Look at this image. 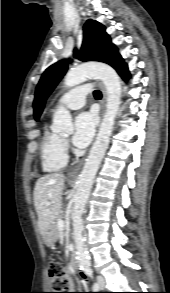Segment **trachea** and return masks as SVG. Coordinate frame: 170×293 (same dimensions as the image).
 <instances>
[{
  "label": "trachea",
  "mask_w": 170,
  "mask_h": 293,
  "mask_svg": "<svg viewBox=\"0 0 170 293\" xmlns=\"http://www.w3.org/2000/svg\"><path fill=\"white\" fill-rule=\"evenodd\" d=\"M93 95H94V97H96V98H101V92L99 91V90H95L94 92H93Z\"/></svg>",
  "instance_id": "obj_1"
}]
</instances>
